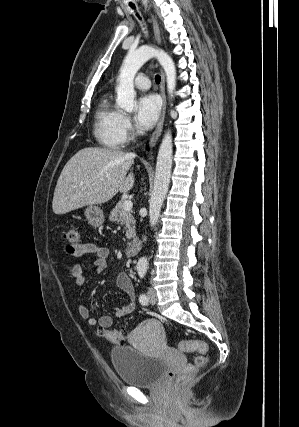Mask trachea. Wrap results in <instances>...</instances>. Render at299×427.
Returning <instances> with one entry per match:
<instances>
[{
	"label": "trachea",
	"instance_id": "obj_1",
	"mask_svg": "<svg viewBox=\"0 0 299 427\" xmlns=\"http://www.w3.org/2000/svg\"><path fill=\"white\" fill-rule=\"evenodd\" d=\"M130 7L135 10V5L130 4ZM137 16H138V14H137ZM155 81H156V83H160L161 77L159 75H156L155 76Z\"/></svg>",
	"mask_w": 299,
	"mask_h": 427
}]
</instances>
